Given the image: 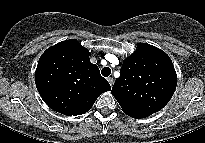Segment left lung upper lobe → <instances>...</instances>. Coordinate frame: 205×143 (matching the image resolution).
Here are the masks:
<instances>
[{"mask_svg":"<svg viewBox=\"0 0 205 143\" xmlns=\"http://www.w3.org/2000/svg\"><path fill=\"white\" fill-rule=\"evenodd\" d=\"M124 60L120 77L111 90L122 111L131 117L161 110L173 96L177 75L169 56L146 43Z\"/></svg>","mask_w":205,"mask_h":143,"instance_id":"obj_1","label":"left lung upper lobe"}]
</instances>
